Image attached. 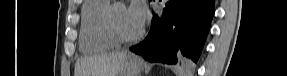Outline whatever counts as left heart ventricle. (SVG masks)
<instances>
[{
    "label": "left heart ventricle",
    "mask_w": 287,
    "mask_h": 76,
    "mask_svg": "<svg viewBox=\"0 0 287 76\" xmlns=\"http://www.w3.org/2000/svg\"><path fill=\"white\" fill-rule=\"evenodd\" d=\"M115 20L120 31L126 35H134L141 29L129 14L127 7H118Z\"/></svg>",
    "instance_id": "b2bd125f"
}]
</instances>
